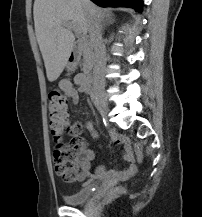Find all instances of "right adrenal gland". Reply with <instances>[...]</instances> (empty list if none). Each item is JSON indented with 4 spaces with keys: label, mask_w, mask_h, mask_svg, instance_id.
<instances>
[{
    "label": "right adrenal gland",
    "mask_w": 202,
    "mask_h": 217,
    "mask_svg": "<svg viewBox=\"0 0 202 217\" xmlns=\"http://www.w3.org/2000/svg\"><path fill=\"white\" fill-rule=\"evenodd\" d=\"M114 22L115 20L109 15L106 18L99 19V24L102 30H104L107 24H113Z\"/></svg>",
    "instance_id": "obj_1"
}]
</instances>
